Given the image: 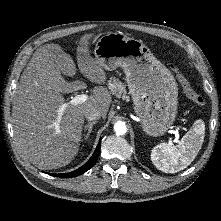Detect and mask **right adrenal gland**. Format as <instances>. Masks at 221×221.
Segmentation results:
<instances>
[{"label":"right adrenal gland","mask_w":221,"mask_h":221,"mask_svg":"<svg viewBox=\"0 0 221 221\" xmlns=\"http://www.w3.org/2000/svg\"><path fill=\"white\" fill-rule=\"evenodd\" d=\"M96 123H97V121H93V122H89L87 125L84 126V131L86 132L88 130L87 134H84V138L86 140L89 138V136H90V134L92 132V127Z\"/></svg>","instance_id":"obj_1"}]
</instances>
